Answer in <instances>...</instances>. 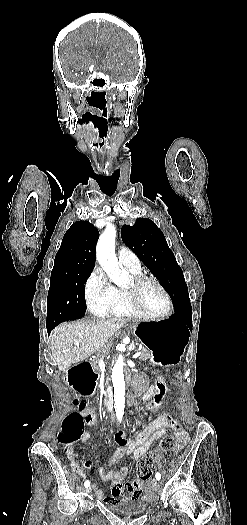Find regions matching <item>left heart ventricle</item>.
<instances>
[{
  "instance_id": "1",
  "label": "left heart ventricle",
  "mask_w": 247,
  "mask_h": 525,
  "mask_svg": "<svg viewBox=\"0 0 247 525\" xmlns=\"http://www.w3.org/2000/svg\"><path fill=\"white\" fill-rule=\"evenodd\" d=\"M129 286V281L125 288ZM139 297L146 309L158 312L166 306V298L161 289L151 281H145L139 288Z\"/></svg>"
}]
</instances>
